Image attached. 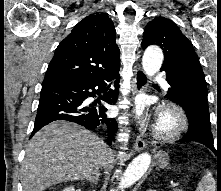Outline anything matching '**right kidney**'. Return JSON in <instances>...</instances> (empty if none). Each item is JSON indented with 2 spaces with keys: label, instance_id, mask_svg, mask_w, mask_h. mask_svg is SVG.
I'll list each match as a JSON object with an SVG mask.
<instances>
[{
  "label": "right kidney",
  "instance_id": "ca27d5eb",
  "mask_svg": "<svg viewBox=\"0 0 221 191\" xmlns=\"http://www.w3.org/2000/svg\"><path fill=\"white\" fill-rule=\"evenodd\" d=\"M62 191H76V190L73 186H70V187L63 189Z\"/></svg>",
  "mask_w": 221,
  "mask_h": 191
}]
</instances>
